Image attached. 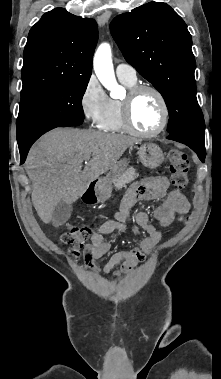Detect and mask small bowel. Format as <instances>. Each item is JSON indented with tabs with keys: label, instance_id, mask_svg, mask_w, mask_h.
<instances>
[{
	"label": "small bowel",
	"instance_id": "small-bowel-1",
	"mask_svg": "<svg viewBox=\"0 0 221 379\" xmlns=\"http://www.w3.org/2000/svg\"><path fill=\"white\" fill-rule=\"evenodd\" d=\"M163 198V204L155 212V218L161 227L170 226L177 214H185L190 210V202L185 193L177 188L170 190V181L165 176L146 177L133 183L123 196L119 210L113 218L103 222L93 233L91 245L86 253L87 265L96 268L95 260L110 251L111 245L104 240V236L115 231H125V223L132 207L137 202ZM136 222L145 233L139 247H131L113 253L108 262L100 269L103 274H109L116 265H120V270L115 272L114 276L129 275L132 268L150 255L160 242L161 232L149 221L147 213L139 212L136 215Z\"/></svg>",
	"mask_w": 221,
	"mask_h": 379
}]
</instances>
